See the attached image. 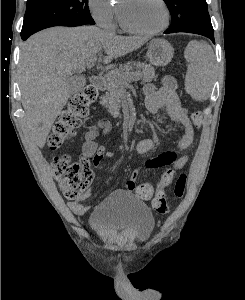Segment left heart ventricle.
Instances as JSON below:
<instances>
[{
	"mask_svg": "<svg viewBox=\"0 0 245 300\" xmlns=\"http://www.w3.org/2000/svg\"><path fill=\"white\" fill-rule=\"evenodd\" d=\"M120 8L125 20L140 29H156L165 21V13L158 0H123Z\"/></svg>",
	"mask_w": 245,
	"mask_h": 300,
	"instance_id": "1",
	"label": "left heart ventricle"
}]
</instances>
